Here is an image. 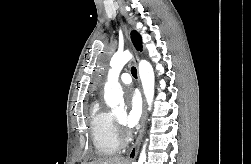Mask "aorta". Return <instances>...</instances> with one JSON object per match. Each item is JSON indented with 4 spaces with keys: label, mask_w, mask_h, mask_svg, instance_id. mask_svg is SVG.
Returning <instances> with one entry per match:
<instances>
[{
    "label": "aorta",
    "mask_w": 251,
    "mask_h": 164,
    "mask_svg": "<svg viewBox=\"0 0 251 164\" xmlns=\"http://www.w3.org/2000/svg\"><path fill=\"white\" fill-rule=\"evenodd\" d=\"M131 59L132 54L126 51L115 53L110 61L108 79L104 87V99L111 108H122L124 106V93L119 83V75L125 64ZM138 71L146 101L149 106L148 110H151L155 84L154 70L148 61L141 60L139 62ZM145 147L146 145L143 146L139 160L134 164H143L146 161Z\"/></svg>",
    "instance_id": "obj_1"
}]
</instances>
